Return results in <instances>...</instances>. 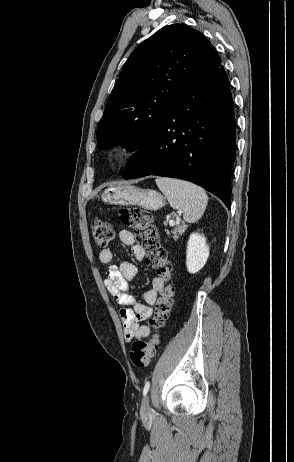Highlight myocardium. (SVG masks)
Listing matches in <instances>:
<instances>
[{
	"instance_id": "f54148a6",
	"label": "myocardium",
	"mask_w": 294,
	"mask_h": 462,
	"mask_svg": "<svg viewBox=\"0 0 294 462\" xmlns=\"http://www.w3.org/2000/svg\"><path fill=\"white\" fill-rule=\"evenodd\" d=\"M137 152V148L130 142H119L108 152V159L112 165L120 166L128 162Z\"/></svg>"
}]
</instances>
